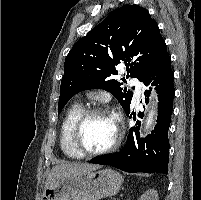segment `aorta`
<instances>
[{
	"label": "aorta",
	"mask_w": 201,
	"mask_h": 200,
	"mask_svg": "<svg viewBox=\"0 0 201 200\" xmlns=\"http://www.w3.org/2000/svg\"><path fill=\"white\" fill-rule=\"evenodd\" d=\"M155 115H156V105L155 101L153 100L151 101V109L149 110V113L146 118L145 130H148L151 127Z\"/></svg>",
	"instance_id": "762f6f07"
}]
</instances>
